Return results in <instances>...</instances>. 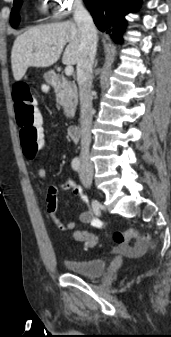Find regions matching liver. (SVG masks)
<instances>
[{
    "instance_id": "1",
    "label": "liver",
    "mask_w": 171,
    "mask_h": 337,
    "mask_svg": "<svg viewBox=\"0 0 171 337\" xmlns=\"http://www.w3.org/2000/svg\"><path fill=\"white\" fill-rule=\"evenodd\" d=\"M81 31L73 21L32 27L19 35L11 51L13 76L19 81L29 67H49L60 57L62 62L75 65L80 59Z\"/></svg>"
}]
</instances>
